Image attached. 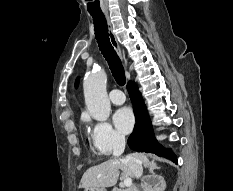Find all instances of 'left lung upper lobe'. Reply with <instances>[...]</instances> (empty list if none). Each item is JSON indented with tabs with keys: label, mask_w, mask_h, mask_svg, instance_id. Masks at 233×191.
Masks as SVG:
<instances>
[{
	"label": "left lung upper lobe",
	"mask_w": 233,
	"mask_h": 191,
	"mask_svg": "<svg viewBox=\"0 0 233 191\" xmlns=\"http://www.w3.org/2000/svg\"><path fill=\"white\" fill-rule=\"evenodd\" d=\"M78 85V80L76 81V84H75V86H77Z\"/></svg>",
	"instance_id": "1"
}]
</instances>
